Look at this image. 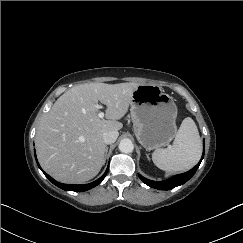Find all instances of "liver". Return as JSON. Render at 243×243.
<instances>
[{
  "label": "liver",
  "mask_w": 243,
  "mask_h": 243,
  "mask_svg": "<svg viewBox=\"0 0 243 243\" xmlns=\"http://www.w3.org/2000/svg\"><path fill=\"white\" fill-rule=\"evenodd\" d=\"M138 83H89L72 87L43 115L35 145L42 168L57 181L83 183L105 163L103 134L120 130ZM98 101L107 106L98 117Z\"/></svg>",
  "instance_id": "6515ba94"
}]
</instances>
